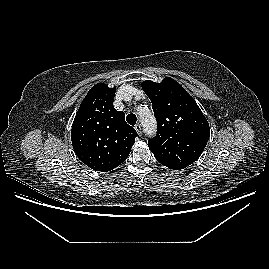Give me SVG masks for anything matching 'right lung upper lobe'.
Segmentation results:
<instances>
[{
  "label": "right lung upper lobe",
  "instance_id": "right-lung-upper-lobe-1",
  "mask_svg": "<svg viewBox=\"0 0 269 269\" xmlns=\"http://www.w3.org/2000/svg\"><path fill=\"white\" fill-rule=\"evenodd\" d=\"M115 87L93 86L76 113L71 140L78 158L101 172L118 167L128 157L136 130L125 122V114L113 106Z\"/></svg>",
  "mask_w": 269,
  "mask_h": 269
}]
</instances>
